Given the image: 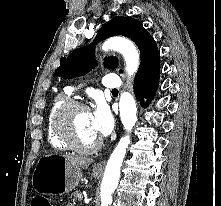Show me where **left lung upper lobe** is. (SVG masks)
<instances>
[{"mask_svg": "<svg viewBox=\"0 0 221 206\" xmlns=\"http://www.w3.org/2000/svg\"><path fill=\"white\" fill-rule=\"evenodd\" d=\"M114 35L131 38L140 50L141 63L135 81L159 71L160 53L153 37L139 21L131 17L116 16L101 27L94 43L74 50L67 58H61L60 67L55 70L56 76L68 79L89 72L95 66V44ZM105 64L108 68H115L117 67V59L115 57L109 58Z\"/></svg>", "mask_w": 221, "mask_h": 206, "instance_id": "left-lung-upper-lobe-1", "label": "left lung upper lobe"}]
</instances>
